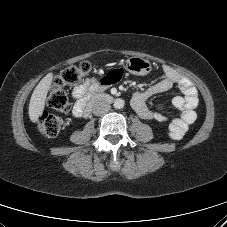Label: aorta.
Returning a JSON list of instances; mask_svg holds the SVG:
<instances>
[{
  "label": "aorta",
  "mask_w": 227,
  "mask_h": 227,
  "mask_svg": "<svg viewBox=\"0 0 227 227\" xmlns=\"http://www.w3.org/2000/svg\"><path fill=\"white\" fill-rule=\"evenodd\" d=\"M124 100L123 99H121V98H117V99H115V101H114V108H116V109H122L123 107H124Z\"/></svg>",
  "instance_id": "1"
}]
</instances>
